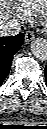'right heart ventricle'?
<instances>
[{"mask_svg": "<svg viewBox=\"0 0 47 129\" xmlns=\"http://www.w3.org/2000/svg\"><path fill=\"white\" fill-rule=\"evenodd\" d=\"M19 7L27 14L28 17L35 16L44 11L46 0H18Z\"/></svg>", "mask_w": 47, "mask_h": 129, "instance_id": "1", "label": "right heart ventricle"}]
</instances>
